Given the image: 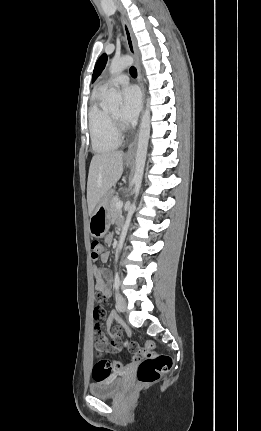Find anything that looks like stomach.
Here are the masks:
<instances>
[{"label":"stomach","mask_w":261,"mask_h":431,"mask_svg":"<svg viewBox=\"0 0 261 431\" xmlns=\"http://www.w3.org/2000/svg\"><path fill=\"white\" fill-rule=\"evenodd\" d=\"M131 159L126 158V165H130ZM111 191L108 192L98 203L94 209L90 221L89 231L90 234L95 238H102L108 232L111 224L110 216V198Z\"/></svg>","instance_id":"obj_1"}]
</instances>
